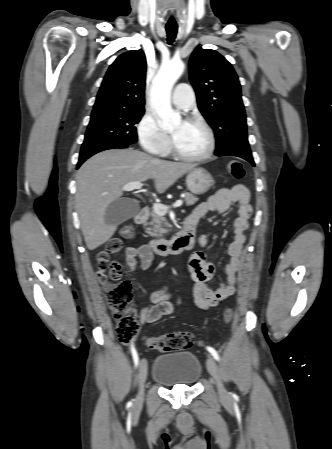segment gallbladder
Instances as JSON below:
<instances>
[{
    "label": "gallbladder",
    "instance_id": "obj_1",
    "mask_svg": "<svg viewBox=\"0 0 332 449\" xmlns=\"http://www.w3.org/2000/svg\"><path fill=\"white\" fill-rule=\"evenodd\" d=\"M139 211L138 203L131 198H118L105 211L107 224L119 225L135 216Z\"/></svg>",
    "mask_w": 332,
    "mask_h": 449
}]
</instances>
